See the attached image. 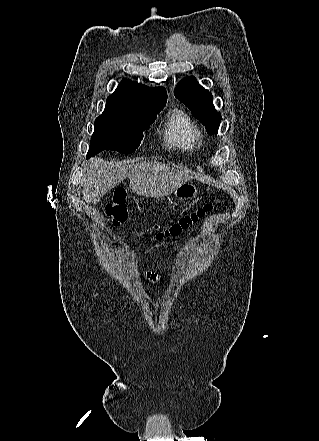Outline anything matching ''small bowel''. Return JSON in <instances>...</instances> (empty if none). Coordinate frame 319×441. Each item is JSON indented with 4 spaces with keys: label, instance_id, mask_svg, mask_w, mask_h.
<instances>
[{
    "label": "small bowel",
    "instance_id": "small-bowel-1",
    "mask_svg": "<svg viewBox=\"0 0 319 441\" xmlns=\"http://www.w3.org/2000/svg\"><path fill=\"white\" fill-rule=\"evenodd\" d=\"M142 278H143L146 282L151 283V284H157V283H160V279H159V277H158L155 273H152V272H144V273L142 274Z\"/></svg>",
    "mask_w": 319,
    "mask_h": 441
}]
</instances>
